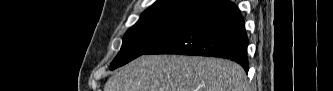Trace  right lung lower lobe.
I'll return each instance as SVG.
<instances>
[{"instance_id": "right-lung-lower-lobe-1", "label": "right lung lower lobe", "mask_w": 333, "mask_h": 91, "mask_svg": "<svg viewBox=\"0 0 333 91\" xmlns=\"http://www.w3.org/2000/svg\"><path fill=\"white\" fill-rule=\"evenodd\" d=\"M248 38L238 7L219 0L145 54L213 56L233 60L248 72Z\"/></svg>"}]
</instances>
